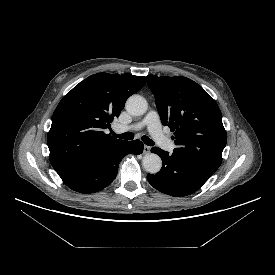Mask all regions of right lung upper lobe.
I'll list each match as a JSON object with an SVG mask.
<instances>
[{"instance_id":"right-lung-upper-lobe-1","label":"right lung upper lobe","mask_w":275,"mask_h":275,"mask_svg":"<svg viewBox=\"0 0 275 275\" xmlns=\"http://www.w3.org/2000/svg\"><path fill=\"white\" fill-rule=\"evenodd\" d=\"M146 82L143 76L98 73L76 85L58 104L47 136L56 172L103 156L126 141L105 134L128 97Z\"/></svg>"}]
</instances>
